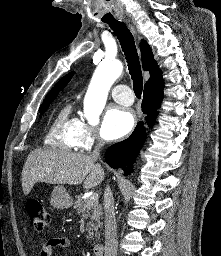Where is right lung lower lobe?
Returning a JSON list of instances; mask_svg holds the SVG:
<instances>
[{
  "label": "right lung lower lobe",
  "mask_w": 221,
  "mask_h": 256,
  "mask_svg": "<svg viewBox=\"0 0 221 256\" xmlns=\"http://www.w3.org/2000/svg\"><path fill=\"white\" fill-rule=\"evenodd\" d=\"M163 98V87L156 89H144L142 111L146 116L148 126H153L157 117V109ZM146 138V128L143 121L137 124L136 129L126 140L116 143L105 153L106 163L112 168H121L125 175L133 171V163Z\"/></svg>",
  "instance_id": "98d812e1"
}]
</instances>
